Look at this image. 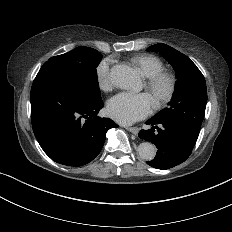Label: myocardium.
I'll use <instances>...</instances> for the list:
<instances>
[{"instance_id":"myocardium-1","label":"myocardium","mask_w":232,"mask_h":232,"mask_svg":"<svg viewBox=\"0 0 232 232\" xmlns=\"http://www.w3.org/2000/svg\"><path fill=\"white\" fill-rule=\"evenodd\" d=\"M146 91L155 99L157 107L167 104L176 91V77L168 72H161L147 78L144 83Z\"/></svg>"}]
</instances>
